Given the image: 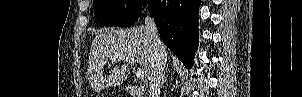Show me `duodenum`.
I'll list each match as a JSON object with an SVG mask.
<instances>
[{
  "mask_svg": "<svg viewBox=\"0 0 302 97\" xmlns=\"http://www.w3.org/2000/svg\"><path fill=\"white\" fill-rule=\"evenodd\" d=\"M127 92L131 97H143V89L139 86L127 85L126 87Z\"/></svg>",
  "mask_w": 302,
  "mask_h": 97,
  "instance_id": "1",
  "label": "duodenum"
}]
</instances>
